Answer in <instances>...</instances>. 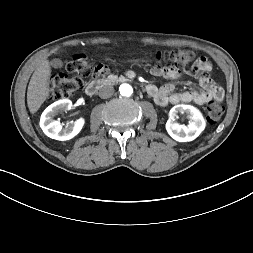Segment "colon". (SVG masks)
<instances>
[{"label": "colon", "instance_id": "obj_1", "mask_svg": "<svg viewBox=\"0 0 253 253\" xmlns=\"http://www.w3.org/2000/svg\"><path fill=\"white\" fill-rule=\"evenodd\" d=\"M155 60L158 63H174L178 66H186L194 61L195 53L191 50L174 49L166 52H156ZM69 73L75 74L74 77L66 75H56L51 79L49 97L52 100H60L73 95L84 84L88 78H106L111 73V66L106 61H99L95 65L89 56L83 53L75 54L66 65ZM207 121L209 123L218 122L224 113V108L217 102L207 105Z\"/></svg>", "mask_w": 253, "mask_h": 253}]
</instances>
